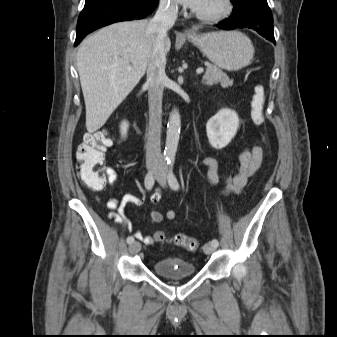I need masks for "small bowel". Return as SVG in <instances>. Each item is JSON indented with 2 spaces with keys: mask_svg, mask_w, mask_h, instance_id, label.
<instances>
[{
  "mask_svg": "<svg viewBox=\"0 0 337 337\" xmlns=\"http://www.w3.org/2000/svg\"><path fill=\"white\" fill-rule=\"evenodd\" d=\"M263 161V151L260 146H253L251 148H245L239 155V168L231 173L223 176L224 185L221 189V194H239L246 186L250 177H252L256 171L261 167ZM200 165L208 169L207 181L211 186H215L219 183L221 176L219 172V163L214 157H203L200 160ZM105 173L107 176V183L112 186L117 181V172L112 167H106ZM162 198V191L156 189L151 197V210L148 213V219L151 223L157 224L162 222L165 217L168 220H174L176 218V212L174 210H168L165 215L156 209V205ZM129 203H133L137 206L142 205V201L132 195L125 194L121 199L111 198L105 206L110 210L108 214L109 218L113 219L117 224L124 226L127 230H132V225L126 217V206ZM136 239L140 240L146 245H153L156 242L155 236L144 235L140 231L134 233Z\"/></svg>",
  "mask_w": 337,
  "mask_h": 337,
  "instance_id": "obj_1",
  "label": "small bowel"
}]
</instances>
